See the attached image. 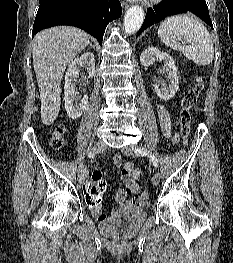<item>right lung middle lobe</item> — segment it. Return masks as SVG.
<instances>
[{
    "mask_svg": "<svg viewBox=\"0 0 233 263\" xmlns=\"http://www.w3.org/2000/svg\"><path fill=\"white\" fill-rule=\"evenodd\" d=\"M48 1H50V0H40V5H43V4H45L46 2H48Z\"/></svg>",
    "mask_w": 233,
    "mask_h": 263,
    "instance_id": "right-lung-middle-lobe-1",
    "label": "right lung middle lobe"
}]
</instances>
